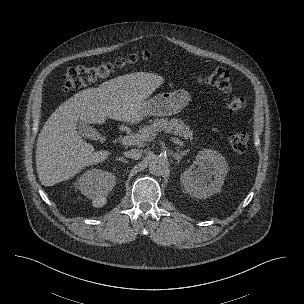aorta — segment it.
Listing matches in <instances>:
<instances>
[{"label":"aorta","instance_id":"762f6f07","mask_svg":"<svg viewBox=\"0 0 304 304\" xmlns=\"http://www.w3.org/2000/svg\"><path fill=\"white\" fill-rule=\"evenodd\" d=\"M168 161L163 156H155L149 161V171L154 175H162L168 170Z\"/></svg>","mask_w":304,"mask_h":304}]
</instances>
